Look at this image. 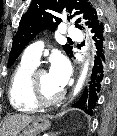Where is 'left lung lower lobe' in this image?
<instances>
[{
    "label": "left lung lower lobe",
    "instance_id": "left-lung-lower-lobe-1",
    "mask_svg": "<svg viewBox=\"0 0 117 136\" xmlns=\"http://www.w3.org/2000/svg\"><path fill=\"white\" fill-rule=\"evenodd\" d=\"M91 32L94 34L93 40L96 47L94 66L81 98L73 105V107L83 110L88 115L93 113L109 65V50L103 24L100 22L93 27Z\"/></svg>",
    "mask_w": 117,
    "mask_h": 136
}]
</instances>
